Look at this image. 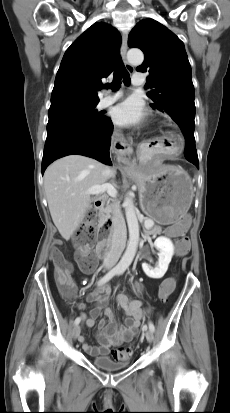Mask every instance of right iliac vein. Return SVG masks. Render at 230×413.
<instances>
[{
  "instance_id": "63e3f726",
  "label": "right iliac vein",
  "mask_w": 230,
  "mask_h": 413,
  "mask_svg": "<svg viewBox=\"0 0 230 413\" xmlns=\"http://www.w3.org/2000/svg\"><path fill=\"white\" fill-rule=\"evenodd\" d=\"M81 328L79 325H75L72 330V336L74 339H77L80 335Z\"/></svg>"
}]
</instances>
